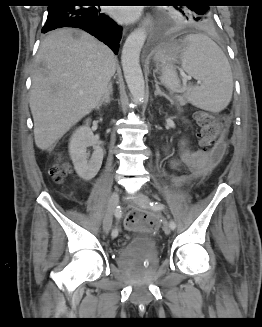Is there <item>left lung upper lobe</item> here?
Wrapping results in <instances>:
<instances>
[{
  "label": "left lung upper lobe",
  "mask_w": 262,
  "mask_h": 327,
  "mask_svg": "<svg viewBox=\"0 0 262 327\" xmlns=\"http://www.w3.org/2000/svg\"><path fill=\"white\" fill-rule=\"evenodd\" d=\"M180 6H174L175 11L160 12L161 26L168 28L178 25L210 26L213 23L210 6L202 4L201 0H180Z\"/></svg>",
  "instance_id": "5c2ea615"
}]
</instances>
